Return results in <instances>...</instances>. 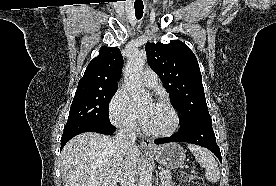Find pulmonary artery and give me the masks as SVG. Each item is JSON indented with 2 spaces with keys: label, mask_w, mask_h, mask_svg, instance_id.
<instances>
[{
  "label": "pulmonary artery",
  "mask_w": 276,
  "mask_h": 186,
  "mask_svg": "<svg viewBox=\"0 0 276 186\" xmlns=\"http://www.w3.org/2000/svg\"><path fill=\"white\" fill-rule=\"evenodd\" d=\"M142 82L148 88H155L158 85L159 78L153 70L147 69L142 73Z\"/></svg>",
  "instance_id": "pulmonary-artery-1"
}]
</instances>
